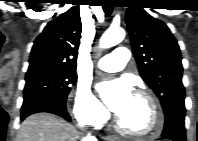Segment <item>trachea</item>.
<instances>
[{"label": "trachea", "mask_w": 198, "mask_h": 141, "mask_svg": "<svg viewBox=\"0 0 198 141\" xmlns=\"http://www.w3.org/2000/svg\"><path fill=\"white\" fill-rule=\"evenodd\" d=\"M103 7H104L105 14L107 16H110L111 13H112V7L110 5H107V4L103 5Z\"/></svg>", "instance_id": "3493384b"}]
</instances>
